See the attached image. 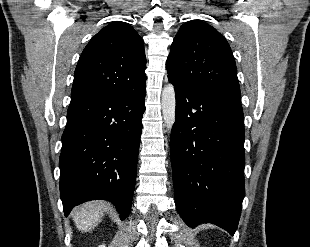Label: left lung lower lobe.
Returning a JSON list of instances; mask_svg holds the SVG:
<instances>
[{
    "label": "left lung lower lobe",
    "mask_w": 310,
    "mask_h": 247,
    "mask_svg": "<svg viewBox=\"0 0 310 247\" xmlns=\"http://www.w3.org/2000/svg\"><path fill=\"white\" fill-rule=\"evenodd\" d=\"M174 84L170 150L176 209L194 228L214 223L233 235L244 188V116L240 101Z\"/></svg>",
    "instance_id": "1"
}]
</instances>
